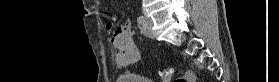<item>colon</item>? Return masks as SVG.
Wrapping results in <instances>:
<instances>
[{
  "label": "colon",
  "mask_w": 279,
  "mask_h": 82,
  "mask_svg": "<svg viewBox=\"0 0 279 82\" xmlns=\"http://www.w3.org/2000/svg\"><path fill=\"white\" fill-rule=\"evenodd\" d=\"M173 73V68H165L160 75L161 82H169L172 78ZM194 79L195 77L192 71L184 70L182 74L177 78L176 82H194Z\"/></svg>",
  "instance_id": "colon-1"
}]
</instances>
